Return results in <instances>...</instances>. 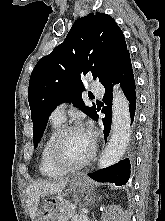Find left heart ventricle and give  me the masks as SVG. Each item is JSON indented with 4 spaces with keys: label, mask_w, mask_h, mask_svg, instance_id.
Segmentation results:
<instances>
[{
    "label": "left heart ventricle",
    "mask_w": 165,
    "mask_h": 221,
    "mask_svg": "<svg viewBox=\"0 0 165 221\" xmlns=\"http://www.w3.org/2000/svg\"><path fill=\"white\" fill-rule=\"evenodd\" d=\"M92 140L83 129L68 133L60 145V157L68 164L82 161L90 152Z\"/></svg>",
    "instance_id": "1"
}]
</instances>
